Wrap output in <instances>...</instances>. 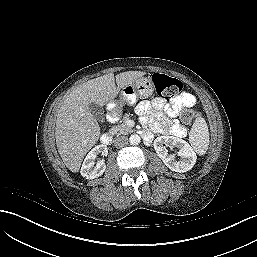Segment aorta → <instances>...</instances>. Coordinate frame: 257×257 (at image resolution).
I'll list each match as a JSON object with an SVG mask.
<instances>
[{
	"label": "aorta",
	"mask_w": 257,
	"mask_h": 257,
	"mask_svg": "<svg viewBox=\"0 0 257 257\" xmlns=\"http://www.w3.org/2000/svg\"><path fill=\"white\" fill-rule=\"evenodd\" d=\"M140 141H141V138L137 134H133L129 138V142L131 145H138L140 143Z\"/></svg>",
	"instance_id": "1"
}]
</instances>
